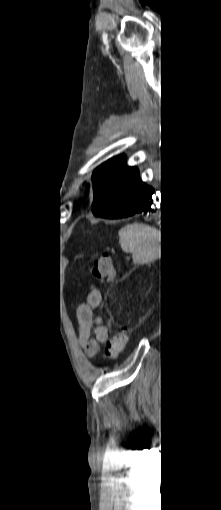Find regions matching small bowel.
<instances>
[{
    "instance_id": "obj_1",
    "label": "small bowel",
    "mask_w": 221,
    "mask_h": 510,
    "mask_svg": "<svg viewBox=\"0 0 221 510\" xmlns=\"http://www.w3.org/2000/svg\"><path fill=\"white\" fill-rule=\"evenodd\" d=\"M101 301V291L92 286L87 296V303L81 304L77 310L79 341L90 358L97 354L99 344L105 343L109 337L108 329L103 324L102 318L93 313L94 309L100 306ZM92 331L94 338H91Z\"/></svg>"
}]
</instances>
